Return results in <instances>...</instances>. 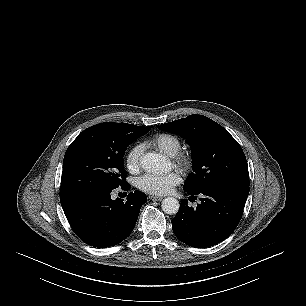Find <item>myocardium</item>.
<instances>
[{
    "label": "myocardium",
    "mask_w": 306,
    "mask_h": 306,
    "mask_svg": "<svg viewBox=\"0 0 306 306\" xmlns=\"http://www.w3.org/2000/svg\"><path fill=\"white\" fill-rule=\"evenodd\" d=\"M171 158L174 165L183 173H188L193 166V156L189 151H179Z\"/></svg>",
    "instance_id": "obj_1"
}]
</instances>
